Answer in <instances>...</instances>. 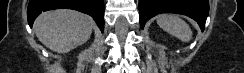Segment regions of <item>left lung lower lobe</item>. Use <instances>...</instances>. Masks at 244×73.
I'll return each instance as SVG.
<instances>
[{
  "label": "left lung lower lobe",
  "mask_w": 244,
  "mask_h": 73,
  "mask_svg": "<svg viewBox=\"0 0 244 73\" xmlns=\"http://www.w3.org/2000/svg\"><path fill=\"white\" fill-rule=\"evenodd\" d=\"M160 13L187 15L198 22L203 31L209 13V2L208 0H139L141 28L151 17Z\"/></svg>",
  "instance_id": "obj_1"
}]
</instances>
